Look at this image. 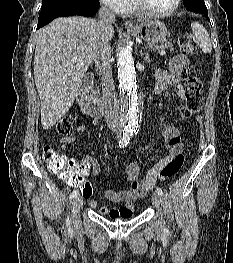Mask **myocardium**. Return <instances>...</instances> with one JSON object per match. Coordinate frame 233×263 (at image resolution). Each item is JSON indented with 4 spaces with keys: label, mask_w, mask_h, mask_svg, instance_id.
Segmentation results:
<instances>
[{
    "label": "myocardium",
    "mask_w": 233,
    "mask_h": 263,
    "mask_svg": "<svg viewBox=\"0 0 233 263\" xmlns=\"http://www.w3.org/2000/svg\"><path fill=\"white\" fill-rule=\"evenodd\" d=\"M133 1V5H134V9L140 13L141 15L143 16H146V17H150V18H165V17H168L172 14H174L179 6H180V3H181V0H174V4L173 6L168 9L167 11H164V12H153V11H150L149 9H147L141 2V0H132Z\"/></svg>",
    "instance_id": "1"
}]
</instances>
